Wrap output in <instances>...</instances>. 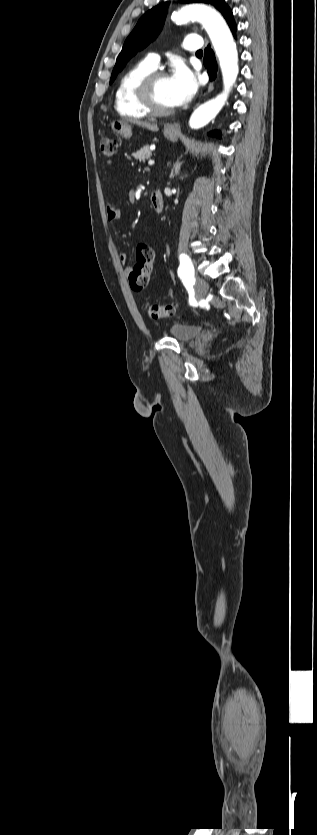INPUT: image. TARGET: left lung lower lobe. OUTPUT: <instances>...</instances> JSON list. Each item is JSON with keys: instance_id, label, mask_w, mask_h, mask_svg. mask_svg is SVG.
Returning <instances> with one entry per match:
<instances>
[{"instance_id": "0a47b994", "label": "left lung lower lobe", "mask_w": 317, "mask_h": 835, "mask_svg": "<svg viewBox=\"0 0 317 835\" xmlns=\"http://www.w3.org/2000/svg\"><path fill=\"white\" fill-rule=\"evenodd\" d=\"M225 19H226L231 31L235 35L236 24L234 22L231 10L227 13V15L225 16ZM204 65L207 68L208 74L210 76V80H213L216 77V74H217V64H216L214 53L211 50L210 46H208L205 49V52H204ZM209 135L220 137V133L217 132V131L210 132Z\"/></svg>"}]
</instances>
